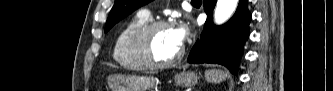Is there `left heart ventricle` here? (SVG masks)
<instances>
[{"mask_svg":"<svg viewBox=\"0 0 333 91\" xmlns=\"http://www.w3.org/2000/svg\"><path fill=\"white\" fill-rule=\"evenodd\" d=\"M172 28H161L157 30L151 41L152 57L157 61H169L174 58L180 50Z\"/></svg>","mask_w":333,"mask_h":91,"instance_id":"b2bd125f","label":"left heart ventricle"}]
</instances>
